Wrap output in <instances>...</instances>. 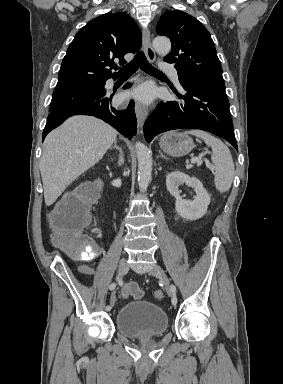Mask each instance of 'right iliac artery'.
Masks as SVG:
<instances>
[{"label": "right iliac artery", "mask_w": 283, "mask_h": 384, "mask_svg": "<svg viewBox=\"0 0 283 384\" xmlns=\"http://www.w3.org/2000/svg\"><path fill=\"white\" fill-rule=\"evenodd\" d=\"M115 287H116V283H115V282L109 285V289H110V290H114ZM106 310H107V311L111 310V306H109V305L106 306Z\"/></svg>", "instance_id": "1"}]
</instances>
